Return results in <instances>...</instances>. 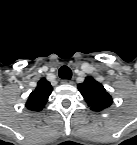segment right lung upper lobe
<instances>
[{
    "label": "right lung upper lobe",
    "instance_id": "obj_1",
    "mask_svg": "<svg viewBox=\"0 0 137 145\" xmlns=\"http://www.w3.org/2000/svg\"><path fill=\"white\" fill-rule=\"evenodd\" d=\"M53 88L45 78L37 83L36 89L31 92L26 102V107L32 111H41L48 101Z\"/></svg>",
    "mask_w": 137,
    "mask_h": 145
}]
</instances>
